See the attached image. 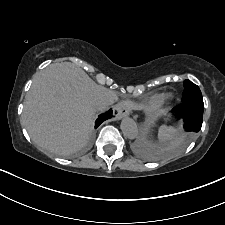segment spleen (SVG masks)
<instances>
[{"label": "spleen", "mask_w": 225, "mask_h": 225, "mask_svg": "<svg viewBox=\"0 0 225 225\" xmlns=\"http://www.w3.org/2000/svg\"><path fill=\"white\" fill-rule=\"evenodd\" d=\"M175 133L176 129L174 127L161 126L158 131V138L163 142L173 138Z\"/></svg>", "instance_id": "3e777b00"}]
</instances>
